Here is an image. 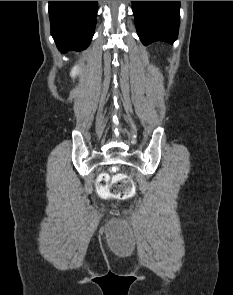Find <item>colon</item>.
<instances>
[{
	"mask_svg": "<svg viewBox=\"0 0 233 295\" xmlns=\"http://www.w3.org/2000/svg\"><path fill=\"white\" fill-rule=\"evenodd\" d=\"M97 189L102 196L120 200L131 198L135 193L132 179L123 174H118L111 180L107 174L99 175Z\"/></svg>",
	"mask_w": 233,
	"mask_h": 295,
	"instance_id": "colon-1",
	"label": "colon"
}]
</instances>
